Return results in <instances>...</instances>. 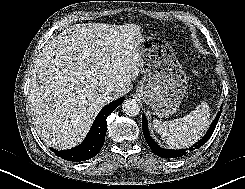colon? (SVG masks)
I'll list each match as a JSON object with an SVG mask.
<instances>
[{
	"label": "colon",
	"mask_w": 245,
	"mask_h": 189,
	"mask_svg": "<svg viewBox=\"0 0 245 189\" xmlns=\"http://www.w3.org/2000/svg\"><path fill=\"white\" fill-rule=\"evenodd\" d=\"M209 85H210V87H214V86H215V82L211 81V82L209 83Z\"/></svg>",
	"instance_id": "obj_1"
}]
</instances>
